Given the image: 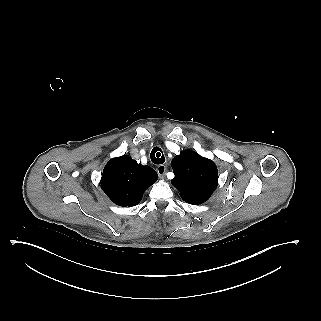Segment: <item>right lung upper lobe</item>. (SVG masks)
Wrapping results in <instances>:
<instances>
[{
    "mask_svg": "<svg viewBox=\"0 0 321 321\" xmlns=\"http://www.w3.org/2000/svg\"><path fill=\"white\" fill-rule=\"evenodd\" d=\"M158 179L149 166H142L127 155L111 159L105 166L101 188L117 205H137L145 192Z\"/></svg>",
    "mask_w": 321,
    "mask_h": 321,
    "instance_id": "obj_1",
    "label": "right lung upper lobe"
}]
</instances>
